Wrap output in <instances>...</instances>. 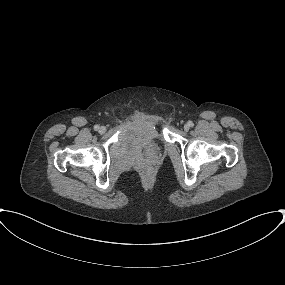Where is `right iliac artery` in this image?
<instances>
[{
  "instance_id": "obj_1",
  "label": "right iliac artery",
  "mask_w": 285,
  "mask_h": 285,
  "mask_svg": "<svg viewBox=\"0 0 285 285\" xmlns=\"http://www.w3.org/2000/svg\"><path fill=\"white\" fill-rule=\"evenodd\" d=\"M94 130H96V131L99 130V125H95Z\"/></svg>"
}]
</instances>
